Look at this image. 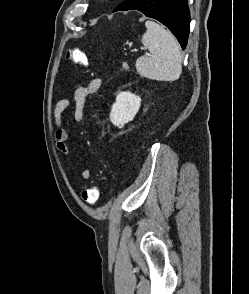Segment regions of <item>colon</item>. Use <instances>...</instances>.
<instances>
[{
  "mask_svg": "<svg viewBox=\"0 0 249 294\" xmlns=\"http://www.w3.org/2000/svg\"><path fill=\"white\" fill-rule=\"evenodd\" d=\"M66 57L73 64L85 66L88 64L85 53L79 48H69ZM99 188L97 186L85 189L82 192V200L87 204L95 203L99 198Z\"/></svg>",
  "mask_w": 249,
  "mask_h": 294,
  "instance_id": "1",
  "label": "colon"
}]
</instances>
